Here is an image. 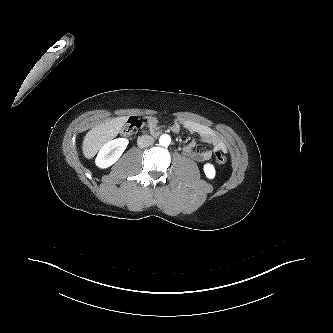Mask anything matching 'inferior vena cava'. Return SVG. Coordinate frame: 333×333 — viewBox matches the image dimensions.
<instances>
[{"label": "inferior vena cava", "mask_w": 333, "mask_h": 333, "mask_svg": "<svg viewBox=\"0 0 333 333\" xmlns=\"http://www.w3.org/2000/svg\"><path fill=\"white\" fill-rule=\"evenodd\" d=\"M154 143V139L149 135H142L138 137L137 145L139 148L149 147Z\"/></svg>", "instance_id": "602c4592"}]
</instances>
